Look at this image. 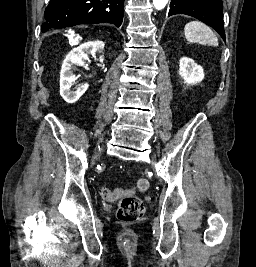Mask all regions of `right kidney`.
Wrapping results in <instances>:
<instances>
[{
    "instance_id": "obj_1",
    "label": "right kidney",
    "mask_w": 256,
    "mask_h": 267,
    "mask_svg": "<svg viewBox=\"0 0 256 267\" xmlns=\"http://www.w3.org/2000/svg\"><path fill=\"white\" fill-rule=\"evenodd\" d=\"M104 46V42H100V40L85 42L67 54L60 72V96L68 104H75L89 88V84H82L80 88H76L75 92L71 90V84L76 80V76L72 72L74 66H84V60H88V54L91 56H96V52L103 54ZM100 62H103V58H100Z\"/></svg>"
}]
</instances>
